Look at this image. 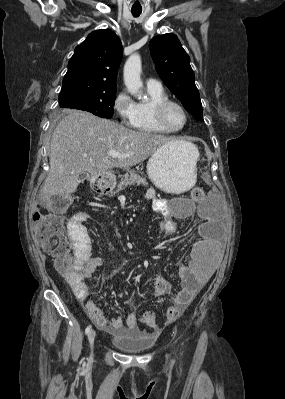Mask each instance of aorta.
Masks as SVG:
<instances>
[{
	"instance_id": "aorta-1",
	"label": "aorta",
	"mask_w": 285,
	"mask_h": 399,
	"mask_svg": "<svg viewBox=\"0 0 285 399\" xmlns=\"http://www.w3.org/2000/svg\"><path fill=\"white\" fill-rule=\"evenodd\" d=\"M124 83L127 90L138 99H142L140 89L143 86L141 81V57L139 54H132L124 65Z\"/></svg>"
}]
</instances>
